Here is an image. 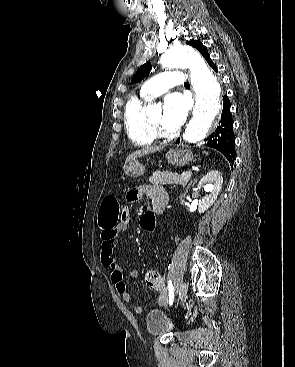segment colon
Here are the masks:
<instances>
[{
  "instance_id": "5ec220e1",
  "label": "colon",
  "mask_w": 295,
  "mask_h": 367,
  "mask_svg": "<svg viewBox=\"0 0 295 367\" xmlns=\"http://www.w3.org/2000/svg\"><path fill=\"white\" fill-rule=\"evenodd\" d=\"M121 209L119 200L115 196H108L103 201L100 209L99 225L102 227L115 226L121 217ZM154 225V216L151 213H147L141 218V224H139L138 228L139 231H149L151 233Z\"/></svg>"
}]
</instances>
